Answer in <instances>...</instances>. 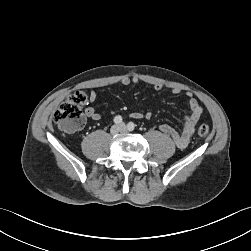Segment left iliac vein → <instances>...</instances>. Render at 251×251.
Masks as SVG:
<instances>
[{
    "mask_svg": "<svg viewBox=\"0 0 251 251\" xmlns=\"http://www.w3.org/2000/svg\"><path fill=\"white\" fill-rule=\"evenodd\" d=\"M120 127H121L122 131H124V132L127 131V128H126L125 124H121Z\"/></svg>",
    "mask_w": 251,
    "mask_h": 251,
    "instance_id": "obj_1",
    "label": "left iliac vein"
}]
</instances>
